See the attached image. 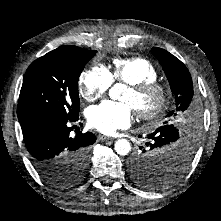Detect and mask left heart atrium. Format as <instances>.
<instances>
[{
	"instance_id": "1",
	"label": "left heart atrium",
	"mask_w": 221,
	"mask_h": 221,
	"mask_svg": "<svg viewBox=\"0 0 221 221\" xmlns=\"http://www.w3.org/2000/svg\"><path fill=\"white\" fill-rule=\"evenodd\" d=\"M133 108L126 102L103 101L87 110L89 124L104 134L130 126Z\"/></svg>"
}]
</instances>
